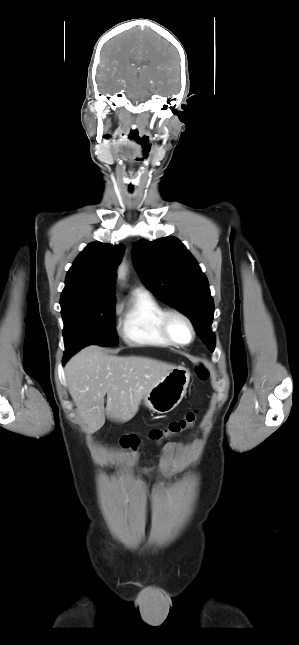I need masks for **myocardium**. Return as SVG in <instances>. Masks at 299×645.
Listing matches in <instances>:
<instances>
[{"mask_svg":"<svg viewBox=\"0 0 299 645\" xmlns=\"http://www.w3.org/2000/svg\"><path fill=\"white\" fill-rule=\"evenodd\" d=\"M174 318H179L183 320L190 330V339L186 342H181L177 340L171 332L170 323ZM160 330L162 335L172 344L176 346H186L192 343L196 336V330L192 320L188 315L177 309L166 310L160 320Z\"/></svg>","mask_w":299,"mask_h":645,"instance_id":"obj_1","label":"myocardium"}]
</instances>
